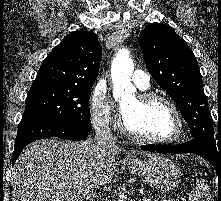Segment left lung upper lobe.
I'll list each match as a JSON object with an SVG mask.
<instances>
[{
  "mask_svg": "<svg viewBox=\"0 0 221 201\" xmlns=\"http://www.w3.org/2000/svg\"><path fill=\"white\" fill-rule=\"evenodd\" d=\"M139 45L149 73L179 106L190 138L216 146L200 70L187 43L170 26L152 23L141 31Z\"/></svg>",
  "mask_w": 221,
  "mask_h": 201,
  "instance_id": "5c2ea615",
  "label": "left lung upper lobe"
}]
</instances>
